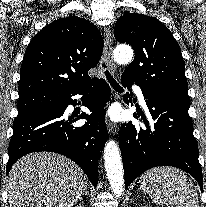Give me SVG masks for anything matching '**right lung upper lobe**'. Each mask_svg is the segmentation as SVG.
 Here are the masks:
<instances>
[{
  "instance_id": "obj_1",
  "label": "right lung upper lobe",
  "mask_w": 206,
  "mask_h": 207,
  "mask_svg": "<svg viewBox=\"0 0 206 207\" xmlns=\"http://www.w3.org/2000/svg\"><path fill=\"white\" fill-rule=\"evenodd\" d=\"M99 30L76 16L58 19L30 41L20 70L19 96L61 94L88 84L103 51Z\"/></svg>"
}]
</instances>
